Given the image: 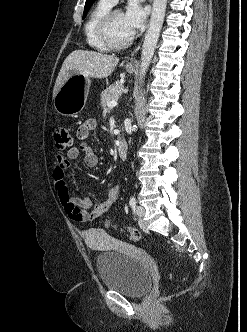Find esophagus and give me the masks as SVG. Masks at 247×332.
<instances>
[{"label": "esophagus", "mask_w": 247, "mask_h": 332, "mask_svg": "<svg viewBox=\"0 0 247 332\" xmlns=\"http://www.w3.org/2000/svg\"><path fill=\"white\" fill-rule=\"evenodd\" d=\"M139 49H140V44L135 48L134 52L132 53V56H136L137 53H138V51H139ZM132 64H133V61L131 60L129 62V65H132Z\"/></svg>", "instance_id": "34e87169"}]
</instances>
